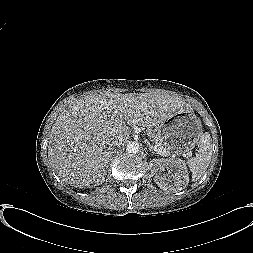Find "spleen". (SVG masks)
<instances>
[{"label":"spleen","mask_w":253,"mask_h":253,"mask_svg":"<svg viewBox=\"0 0 253 253\" xmlns=\"http://www.w3.org/2000/svg\"><path fill=\"white\" fill-rule=\"evenodd\" d=\"M211 142L209 133L202 134L198 144V153L186 162L192 172V180H199L207 170L212 156ZM175 161L183 163L182 160Z\"/></svg>","instance_id":"1"}]
</instances>
